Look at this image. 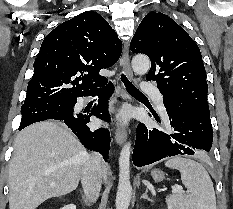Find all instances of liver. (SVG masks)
Returning a JSON list of instances; mask_svg holds the SVG:
<instances>
[{"label": "liver", "mask_w": 233, "mask_h": 209, "mask_svg": "<svg viewBox=\"0 0 233 209\" xmlns=\"http://www.w3.org/2000/svg\"><path fill=\"white\" fill-rule=\"evenodd\" d=\"M88 156L61 124L45 121L22 130L9 163V209H36L47 199L74 191ZM102 177L107 178L105 165Z\"/></svg>", "instance_id": "1"}]
</instances>
